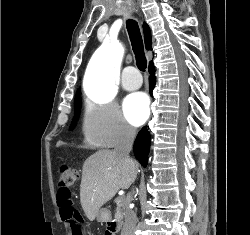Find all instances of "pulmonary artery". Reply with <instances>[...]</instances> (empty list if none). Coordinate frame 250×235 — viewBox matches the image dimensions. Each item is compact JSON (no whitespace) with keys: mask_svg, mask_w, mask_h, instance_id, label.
I'll return each mask as SVG.
<instances>
[{"mask_svg":"<svg viewBox=\"0 0 250 235\" xmlns=\"http://www.w3.org/2000/svg\"><path fill=\"white\" fill-rule=\"evenodd\" d=\"M142 79L133 66L124 69L121 77L122 87L126 90H136L141 86Z\"/></svg>","mask_w":250,"mask_h":235,"instance_id":"pulmonary-artery-1","label":"pulmonary artery"}]
</instances>
